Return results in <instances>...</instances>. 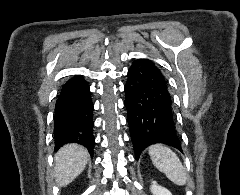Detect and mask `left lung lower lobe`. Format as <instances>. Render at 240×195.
<instances>
[{
	"label": "left lung lower lobe",
	"mask_w": 240,
	"mask_h": 195,
	"mask_svg": "<svg viewBox=\"0 0 240 195\" xmlns=\"http://www.w3.org/2000/svg\"><path fill=\"white\" fill-rule=\"evenodd\" d=\"M127 77L125 107L136 160L147 146L155 143L182 151L163 74L152 61L139 59L132 63Z\"/></svg>",
	"instance_id": "left-lung-lower-lobe-1"
}]
</instances>
